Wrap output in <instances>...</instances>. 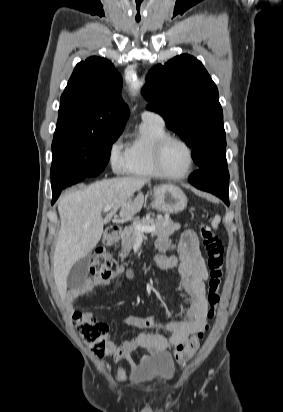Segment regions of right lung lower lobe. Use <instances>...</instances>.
<instances>
[{
	"label": "right lung lower lobe",
	"instance_id": "obj_1",
	"mask_svg": "<svg viewBox=\"0 0 283 412\" xmlns=\"http://www.w3.org/2000/svg\"><path fill=\"white\" fill-rule=\"evenodd\" d=\"M104 167L98 166L94 169H91L85 173L82 174H77V175H63V176H57L53 179H51V185H52V192H53V199H52V204L57 200V198L60 195V192L63 188L67 186H71L73 184H76L82 180H84L86 177H91V176H96L98 175Z\"/></svg>",
	"mask_w": 283,
	"mask_h": 412
}]
</instances>
